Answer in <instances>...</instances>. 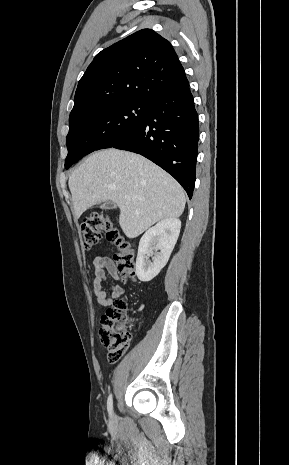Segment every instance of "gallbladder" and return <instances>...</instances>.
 <instances>
[{
  "label": "gallbladder",
  "mask_w": 289,
  "mask_h": 465,
  "mask_svg": "<svg viewBox=\"0 0 289 465\" xmlns=\"http://www.w3.org/2000/svg\"><path fill=\"white\" fill-rule=\"evenodd\" d=\"M117 205L114 204L113 202H104L100 207L102 209H110V208H115Z\"/></svg>",
  "instance_id": "bac80fb5"
}]
</instances>
